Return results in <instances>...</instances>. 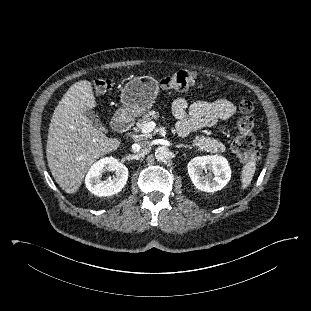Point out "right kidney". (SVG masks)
<instances>
[{"mask_svg": "<svg viewBox=\"0 0 311 311\" xmlns=\"http://www.w3.org/2000/svg\"><path fill=\"white\" fill-rule=\"evenodd\" d=\"M106 170L115 173L112 180L103 182L101 177ZM128 179V168L114 157H105L94 163L85 178L86 188L99 197L117 194Z\"/></svg>", "mask_w": 311, "mask_h": 311, "instance_id": "1", "label": "right kidney"}]
</instances>
